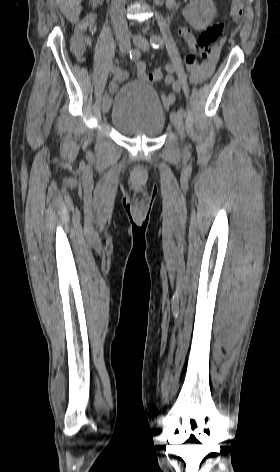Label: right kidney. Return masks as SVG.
I'll return each mask as SVG.
<instances>
[{
    "instance_id": "obj_1",
    "label": "right kidney",
    "mask_w": 280,
    "mask_h": 472,
    "mask_svg": "<svg viewBox=\"0 0 280 472\" xmlns=\"http://www.w3.org/2000/svg\"><path fill=\"white\" fill-rule=\"evenodd\" d=\"M98 2H99V0H97V1L93 0V3H92L93 8L97 6Z\"/></svg>"
}]
</instances>
